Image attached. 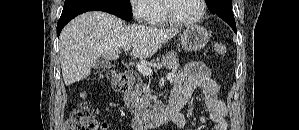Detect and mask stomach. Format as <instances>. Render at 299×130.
Here are the masks:
<instances>
[{
  "instance_id": "1",
  "label": "stomach",
  "mask_w": 299,
  "mask_h": 130,
  "mask_svg": "<svg viewBox=\"0 0 299 130\" xmlns=\"http://www.w3.org/2000/svg\"><path fill=\"white\" fill-rule=\"evenodd\" d=\"M210 36V33L204 27L190 25L180 35L181 44L186 51H198L206 46Z\"/></svg>"
}]
</instances>
